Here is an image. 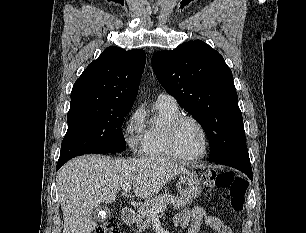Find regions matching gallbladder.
<instances>
[{
    "instance_id": "bac80fb5",
    "label": "gallbladder",
    "mask_w": 306,
    "mask_h": 233,
    "mask_svg": "<svg viewBox=\"0 0 306 233\" xmlns=\"http://www.w3.org/2000/svg\"><path fill=\"white\" fill-rule=\"evenodd\" d=\"M93 219L96 221H103L105 220L109 215L110 211L109 209H102V208H97L92 212Z\"/></svg>"
}]
</instances>
